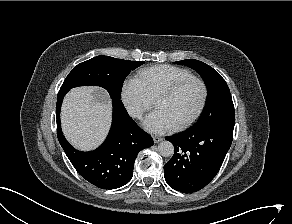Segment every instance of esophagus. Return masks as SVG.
Returning a JSON list of instances; mask_svg holds the SVG:
<instances>
[{"label":"esophagus","mask_w":292,"mask_h":224,"mask_svg":"<svg viewBox=\"0 0 292 224\" xmlns=\"http://www.w3.org/2000/svg\"><path fill=\"white\" fill-rule=\"evenodd\" d=\"M162 140H163V138L160 137V136H153V141H154V143H159V142L162 141Z\"/></svg>","instance_id":"1"}]
</instances>
